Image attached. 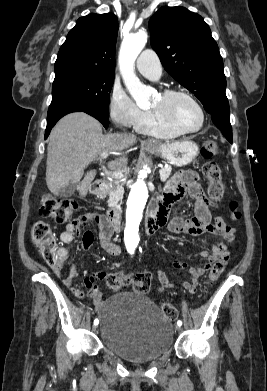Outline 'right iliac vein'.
Listing matches in <instances>:
<instances>
[{"instance_id": "1", "label": "right iliac vein", "mask_w": 267, "mask_h": 391, "mask_svg": "<svg viewBox=\"0 0 267 391\" xmlns=\"http://www.w3.org/2000/svg\"><path fill=\"white\" fill-rule=\"evenodd\" d=\"M93 330L96 331L97 330V326H93Z\"/></svg>"}]
</instances>
